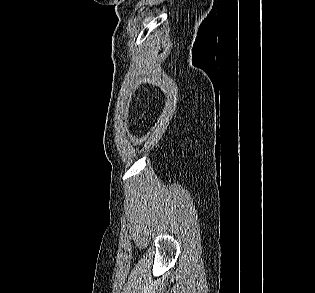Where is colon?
<instances>
[{
  "instance_id": "obj_1",
  "label": "colon",
  "mask_w": 315,
  "mask_h": 293,
  "mask_svg": "<svg viewBox=\"0 0 315 293\" xmlns=\"http://www.w3.org/2000/svg\"><path fill=\"white\" fill-rule=\"evenodd\" d=\"M154 110H157V107H154ZM157 111H154L153 116H156Z\"/></svg>"
}]
</instances>
